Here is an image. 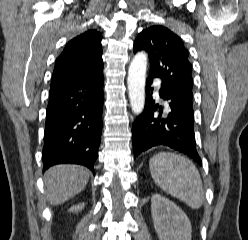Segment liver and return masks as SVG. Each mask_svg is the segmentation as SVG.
Instances as JSON below:
<instances>
[{
    "label": "liver",
    "mask_w": 248,
    "mask_h": 240,
    "mask_svg": "<svg viewBox=\"0 0 248 240\" xmlns=\"http://www.w3.org/2000/svg\"><path fill=\"white\" fill-rule=\"evenodd\" d=\"M89 171L77 165H57L46 171L44 175L47 200L53 205H60L87 185Z\"/></svg>",
    "instance_id": "1"
}]
</instances>
